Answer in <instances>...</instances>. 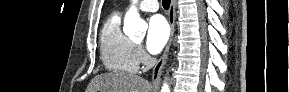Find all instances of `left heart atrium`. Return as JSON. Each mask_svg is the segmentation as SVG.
<instances>
[{"mask_svg": "<svg viewBox=\"0 0 289 92\" xmlns=\"http://www.w3.org/2000/svg\"><path fill=\"white\" fill-rule=\"evenodd\" d=\"M169 26L161 15H154L149 19L146 37V48L151 54L159 53L169 38Z\"/></svg>", "mask_w": 289, "mask_h": 92, "instance_id": "left-heart-atrium-1", "label": "left heart atrium"}]
</instances>
